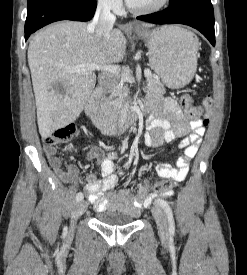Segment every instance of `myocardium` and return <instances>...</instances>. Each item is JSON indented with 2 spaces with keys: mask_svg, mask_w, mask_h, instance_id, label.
Listing matches in <instances>:
<instances>
[{
  "mask_svg": "<svg viewBox=\"0 0 247 275\" xmlns=\"http://www.w3.org/2000/svg\"><path fill=\"white\" fill-rule=\"evenodd\" d=\"M169 1L170 0H161L160 3H158L152 7H148V8H135L131 5L129 0H126V5L132 13H135L138 15H146V14L156 13V12L164 9L167 6V4L169 3Z\"/></svg>",
  "mask_w": 247,
  "mask_h": 275,
  "instance_id": "1",
  "label": "myocardium"
}]
</instances>
